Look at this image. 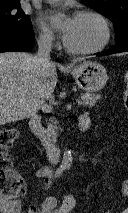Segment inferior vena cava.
Segmentation results:
<instances>
[{"label":"inferior vena cava","instance_id":"inferior-vena-cava-1","mask_svg":"<svg viewBox=\"0 0 128 213\" xmlns=\"http://www.w3.org/2000/svg\"><path fill=\"white\" fill-rule=\"evenodd\" d=\"M51 48L52 38L49 36H41L38 40V53L35 56V62L43 77L48 75L49 69L53 65L50 58ZM40 95L43 100H46L51 97L52 91L43 86L40 91Z\"/></svg>","mask_w":128,"mask_h":213}]
</instances>
